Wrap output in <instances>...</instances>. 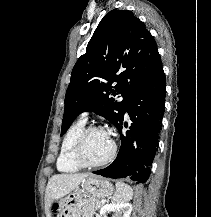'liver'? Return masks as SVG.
Segmentation results:
<instances>
[{
  "label": "liver",
  "mask_w": 211,
  "mask_h": 217,
  "mask_svg": "<svg viewBox=\"0 0 211 217\" xmlns=\"http://www.w3.org/2000/svg\"><path fill=\"white\" fill-rule=\"evenodd\" d=\"M88 174H56L50 178L45 193V212L51 217L52 205L75 190Z\"/></svg>",
  "instance_id": "6515ba94"
}]
</instances>
